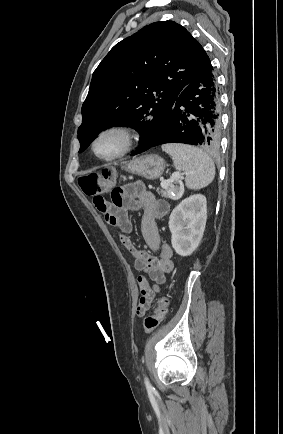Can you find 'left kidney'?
I'll return each instance as SVG.
<instances>
[{"label":"left kidney","mask_w":283,"mask_h":434,"mask_svg":"<svg viewBox=\"0 0 283 434\" xmlns=\"http://www.w3.org/2000/svg\"><path fill=\"white\" fill-rule=\"evenodd\" d=\"M207 220L206 197L195 194L182 200L169 217L171 244L180 256L191 255L199 246Z\"/></svg>","instance_id":"left-kidney-1"}]
</instances>
